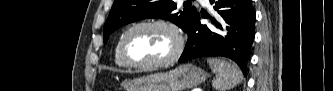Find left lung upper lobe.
<instances>
[{
    "label": "left lung upper lobe",
    "instance_id": "1",
    "mask_svg": "<svg viewBox=\"0 0 333 91\" xmlns=\"http://www.w3.org/2000/svg\"><path fill=\"white\" fill-rule=\"evenodd\" d=\"M183 5V11L173 13L177 5L172 0H115L104 25V42L119 27L145 18L167 19L187 32L197 10L190 0Z\"/></svg>",
    "mask_w": 333,
    "mask_h": 91
}]
</instances>
